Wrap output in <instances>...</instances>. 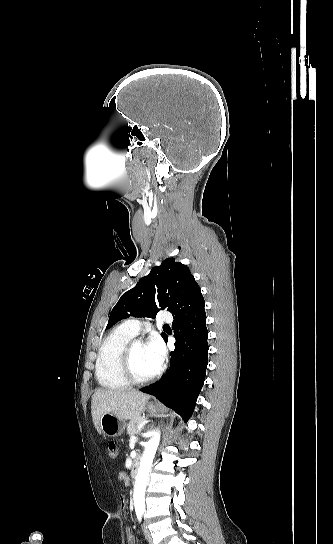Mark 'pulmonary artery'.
<instances>
[{
  "mask_svg": "<svg viewBox=\"0 0 333 544\" xmlns=\"http://www.w3.org/2000/svg\"><path fill=\"white\" fill-rule=\"evenodd\" d=\"M161 319L165 322H171L172 321V316L170 313L168 312H164L162 315H161ZM125 330H127L129 333H131L132 335H137L140 330H141V327H142V323L139 319H129V320H126L125 322L122 323L121 325Z\"/></svg>",
  "mask_w": 333,
  "mask_h": 544,
  "instance_id": "obj_1",
  "label": "pulmonary artery"
}]
</instances>
